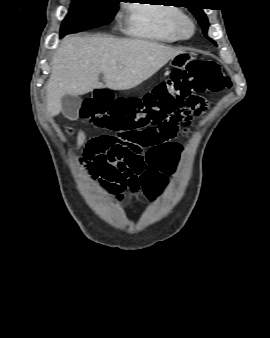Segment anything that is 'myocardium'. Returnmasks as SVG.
<instances>
[{
    "label": "myocardium",
    "instance_id": "f54148a6",
    "mask_svg": "<svg viewBox=\"0 0 270 338\" xmlns=\"http://www.w3.org/2000/svg\"><path fill=\"white\" fill-rule=\"evenodd\" d=\"M173 29L178 38L188 39L194 33V22L186 13H180L176 16Z\"/></svg>",
    "mask_w": 270,
    "mask_h": 338
}]
</instances>
